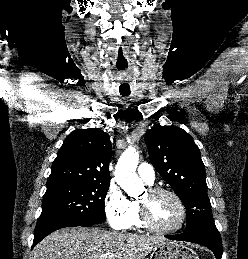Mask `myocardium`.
<instances>
[{
    "mask_svg": "<svg viewBox=\"0 0 248 259\" xmlns=\"http://www.w3.org/2000/svg\"><path fill=\"white\" fill-rule=\"evenodd\" d=\"M147 193L149 194V196L165 194L172 197L180 209L181 216H180L179 223L175 227L169 228V229L160 228L157 225H155L151 219L148 203L145 201H138L139 215L143 226L149 229L150 231H153L155 233L162 234V235H171L181 230L186 222L187 210L179 195L174 191L164 187H151L147 190Z\"/></svg>",
    "mask_w": 248,
    "mask_h": 259,
    "instance_id": "f54148a6",
    "label": "myocardium"
}]
</instances>
